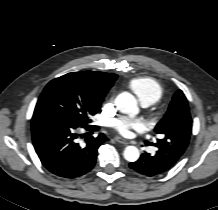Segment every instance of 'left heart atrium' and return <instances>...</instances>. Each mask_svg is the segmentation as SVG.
I'll return each instance as SVG.
<instances>
[{"label": "left heart atrium", "instance_id": "left-heart-atrium-1", "mask_svg": "<svg viewBox=\"0 0 218 210\" xmlns=\"http://www.w3.org/2000/svg\"><path fill=\"white\" fill-rule=\"evenodd\" d=\"M113 127L123 136H129L132 131H144L146 125L140 119H119L113 122Z\"/></svg>", "mask_w": 218, "mask_h": 210}]
</instances>
